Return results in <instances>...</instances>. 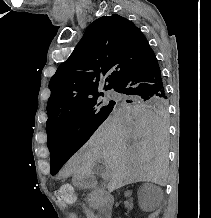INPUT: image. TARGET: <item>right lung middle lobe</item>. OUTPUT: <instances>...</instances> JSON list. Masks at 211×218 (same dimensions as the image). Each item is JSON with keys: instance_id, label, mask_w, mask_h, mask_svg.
Listing matches in <instances>:
<instances>
[{"instance_id": "right-lung-middle-lobe-1", "label": "right lung middle lobe", "mask_w": 211, "mask_h": 218, "mask_svg": "<svg viewBox=\"0 0 211 218\" xmlns=\"http://www.w3.org/2000/svg\"><path fill=\"white\" fill-rule=\"evenodd\" d=\"M100 95L64 114L51 128L47 129L49 148L69 146L77 151L103 123L116 105L136 106L141 104L151 106L159 111H166L168 107L167 98L119 97L115 100L104 101L98 99ZM63 164V161L52 159L51 175H55Z\"/></svg>"}]
</instances>
